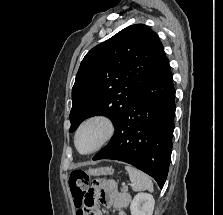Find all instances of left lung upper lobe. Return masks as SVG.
Wrapping results in <instances>:
<instances>
[{"label": "left lung upper lobe", "mask_w": 223, "mask_h": 215, "mask_svg": "<svg viewBox=\"0 0 223 215\" xmlns=\"http://www.w3.org/2000/svg\"><path fill=\"white\" fill-rule=\"evenodd\" d=\"M166 59L158 35L144 24L126 27L92 48L72 89L69 131L94 115L108 116L116 129L137 93Z\"/></svg>", "instance_id": "1"}]
</instances>
